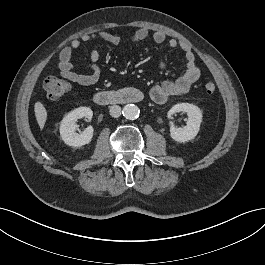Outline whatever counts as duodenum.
Instances as JSON below:
<instances>
[{"instance_id": "duodenum-1", "label": "duodenum", "mask_w": 265, "mask_h": 265, "mask_svg": "<svg viewBox=\"0 0 265 265\" xmlns=\"http://www.w3.org/2000/svg\"><path fill=\"white\" fill-rule=\"evenodd\" d=\"M143 99V94L135 88L97 92L93 100L98 105L131 104Z\"/></svg>"}]
</instances>
